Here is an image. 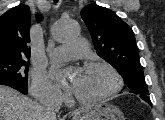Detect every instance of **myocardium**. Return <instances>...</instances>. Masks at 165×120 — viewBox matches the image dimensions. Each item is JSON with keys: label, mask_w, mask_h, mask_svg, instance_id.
I'll return each instance as SVG.
<instances>
[{"label": "myocardium", "mask_w": 165, "mask_h": 120, "mask_svg": "<svg viewBox=\"0 0 165 120\" xmlns=\"http://www.w3.org/2000/svg\"><path fill=\"white\" fill-rule=\"evenodd\" d=\"M103 68L107 70L113 77L112 87L103 95L93 99H83L74 94V100L81 105H95L102 103L115 94H117L122 88V77L118 70L110 63L103 60L90 61L84 65V69Z\"/></svg>", "instance_id": "1"}]
</instances>
